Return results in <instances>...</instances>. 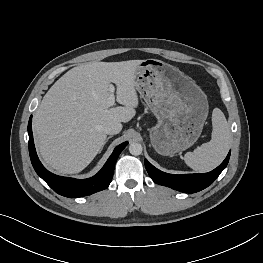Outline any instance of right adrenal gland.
<instances>
[{
    "label": "right adrenal gland",
    "instance_id": "2a0ac1e0",
    "mask_svg": "<svg viewBox=\"0 0 263 263\" xmlns=\"http://www.w3.org/2000/svg\"><path fill=\"white\" fill-rule=\"evenodd\" d=\"M110 138H112V136H108V137L106 138V141L104 142V145H105V144L108 142V140H109ZM104 145L102 146V148H101L100 152L102 151V149H103Z\"/></svg>",
    "mask_w": 263,
    "mask_h": 263
}]
</instances>
